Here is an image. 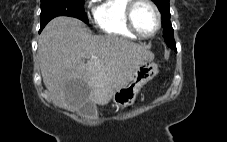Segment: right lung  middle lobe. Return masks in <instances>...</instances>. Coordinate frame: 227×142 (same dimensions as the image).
Listing matches in <instances>:
<instances>
[{"label": "right lung middle lobe", "mask_w": 227, "mask_h": 142, "mask_svg": "<svg viewBox=\"0 0 227 142\" xmlns=\"http://www.w3.org/2000/svg\"><path fill=\"white\" fill-rule=\"evenodd\" d=\"M70 16L88 23V18L84 11V0H41V28L54 17Z\"/></svg>", "instance_id": "dd1d6c3e"}]
</instances>
